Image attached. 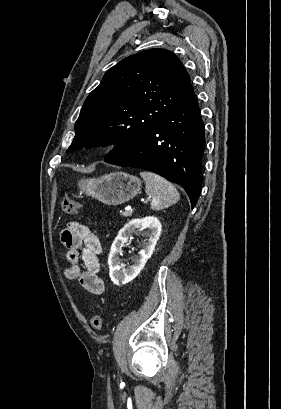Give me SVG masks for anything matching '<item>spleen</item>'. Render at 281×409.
I'll return each instance as SVG.
<instances>
[{
	"instance_id": "3e777b00",
	"label": "spleen",
	"mask_w": 281,
	"mask_h": 409,
	"mask_svg": "<svg viewBox=\"0 0 281 409\" xmlns=\"http://www.w3.org/2000/svg\"><path fill=\"white\" fill-rule=\"evenodd\" d=\"M140 176L145 180V192L151 196V209L154 211L168 209L180 200L177 188L169 180H165L163 176H159L155 172H147V170L140 172Z\"/></svg>"
}]
</instances>
